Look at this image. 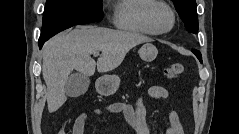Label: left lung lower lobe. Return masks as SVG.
Listing matches in <instances>:
<instances>
[{
    "mask_svg": "<svg viewBox=\"0 0 239 134\" xmlns=\"http://www.w3.org/2000/svg\"><path fill=\"white\" fill-rule=\"evenodd\" d=\"M193 53L197 56L198 59H201V54L197 50H193Z\"/></svg>",
    "mask_w": 239,
    "mask_h": 134,
    "instance_id": "1",
    "label": "left lung lower lobe"
}]
</instances>
